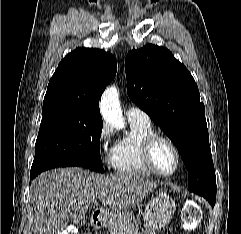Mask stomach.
Instances as JSON below:
<instances>
[{"instance_id": "1", "label": "stomach", "mask_w": 241, "mask_h": 234, "mask_svg": "<svg viewBox=\"0 0 241 234\" xmlns=\"http://www.w3.org/2000/svg\"><path fill=\"white\" fill-rule=\"evenodd\" d=\"M174 213V206L169 199L157 196L153 197L145 205L143 212L144 229L138 232V227L132 216L126 211L118 213L111 220L119 225L122 234H156L163 229L171 220Z\"/></svg>"}]
</instances>
